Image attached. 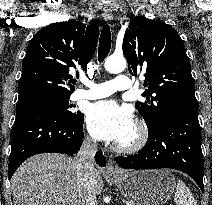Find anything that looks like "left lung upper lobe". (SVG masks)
Instances as JSON below:
<instances>
[{
	"label": "left lung upper lobe",
	"instance_id": "obj_1",
	"mask_svg": "<svg viewBox=\"0 0 212 205\" xmlns=\"http://www.w3.org/2000/svg\"><path fill=\"white\" fill-rule=\"evenodd\" d=\"M123 54L131 75L143 72L145 102L136 109L148 129L183 105H197L190 60L179 34L162 21L136 16L123 39Z\"/></svg>",
	"mask_w": 212,
	"mask_h": 205
}]
</instances>
